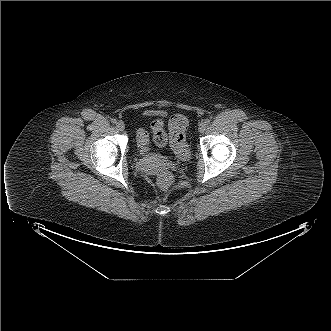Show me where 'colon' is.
Segmentation results:
<instances>
[{"instance_id":"1","label":"colon","mask_w":331,"mask_h":331,"mask_svg":"<svg viewBox=\"0 0 331 331\" xmlns=\"http://www.w3.org/2000/svg\"><path fill=\"white\" fill-rule=\"evenodd\" d=\"M188 120L185 116L177 114L170 118L168 123V136L162 128L154 130V142L159 147H163L169 142L171 148L181 159L188 156V146L186 143V130ZM143 147L145 144L143 143ZM157 183L164 189H168L173 183L172 175L163 171L157 176Z\"/></svg>"}]
</instances>
